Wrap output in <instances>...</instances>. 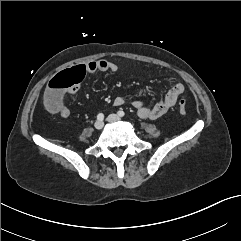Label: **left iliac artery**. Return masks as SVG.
Here are the masks:
<instances>
[{"mask_svg": "<svg viewBox=\"0 0 241 241\" xmlns=\"http://www.w3.org/2000/svg\"><path fill=\"white\" fill-rule=\"evenodd\" d=\"M118 115H119L120 117H123V116L125 115V112H124L123 110H119V111H118Z\"/></svg>", "mask_w": 241, "mask_h": 241, "instance_id": "1", "label": "left iliac artery"}]
</instances>
